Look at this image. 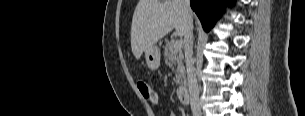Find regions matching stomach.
I'll return each mask as SVG.
<instances>
[{
  "label": "stomach",
  "instance_id": "stomach-1",
  "mask_svg": "<svg viewBox=\"0 0 305 116\" xmlns=\"http://www.w3.org/2000/svg\"><path fill=\"white\" fill-rule=\"evenodd\" d=\"M160 59H161L160 48L156 44H153L145 49L146 64L151 70H156L159 68Z\"/></svg>",
  "mask_w": 305,
  "mask_h": 116
}]
</instances>
